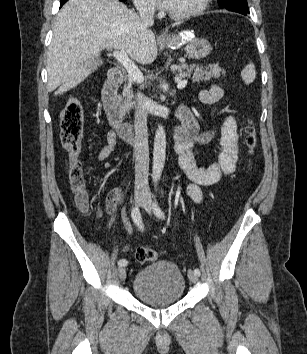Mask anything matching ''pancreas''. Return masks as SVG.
Listing matches in <instances>:
<instances>
[{
	"label": "pancreas",
	"mask_w": 307,
	"mask_h": 354,
	"mask_svg": "<svg viewBox=\"0 0 307 354\" xmlns=\"http://www.w3.org/2000/svg\"><path fill=\"white\" fill-rule=\"evenodd\" d=\"M176 78L183 79V78H191L193 82H200V81H210L213 77L219 78L220 75H225V70L218 67L217 64H209L207 66L202 65H186L181 64L176 69ZM132 81L127 79V83L124 86V90L122 92V96L124 98V108L126 111H130L133 107L134 102L132 101Z\"/></svg>",
	"instance_id": "obj_1"
}]
</instances>
